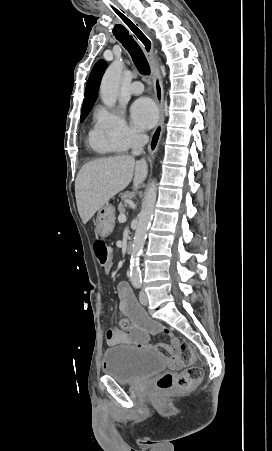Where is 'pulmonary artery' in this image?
I'll list each match as a JSON object with an SVG mask.
<instances>
[{
  "label": "pulmonary artery",
  "instance_id": "obj_1",
  "mask_svg": "<svg viewBox=\"0 0 272 451\" xmlns=\"http://www.w3.org/2000/svg\"><path fill=\"white\" fill-rule=\"evenodd\" d=\"M144 87L141 80H134L133 84L128 88V93L131 95H139L143 92Z\"/></svg>",
  "mask_w": 272,
  "mask_h": 451
}]
</instances>
